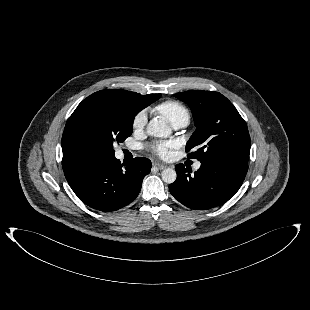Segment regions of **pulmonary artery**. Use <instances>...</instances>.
Here are the masks:
<instances>
[{
    "label": "pulmonary artery",
    "instance_id": "obj_1",
    "mask_svg": "<svg viewBox=\"0 0 310 310\" xmlns=\"http://www.w3.org/2000/svg\"><path fill=\"white\" fill-rule=\"evenodd\" d=\"M186 125H187V124H185V123H177V124H174L173 127L176 128V129H178V128H182V127H184V126H186ZM200 166H201V163H200V162H197V163H195V165H194V169L197 170V169L200 168Z\"/></svg>",
    "mask_w": 310,
    "mask_h": 310
}]
</instances>
